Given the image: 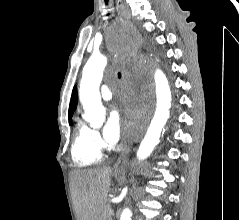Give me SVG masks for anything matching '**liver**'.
Wrapping results in <instances>:
<instances>
[{
    "label": "liver",
    "instance_id": "obj_1",
    "mask_svg": "<svg viewBox=\"0 0 239 220\" xmlns=\"http://www.w3.org/2000/svg\"><path fill=\"white\" fill-rule=\"evenodd\" d=\"M110 167L74 170L70 173L77 220H102L110 189Z\"/></svg>",
    "mask_w": 239,
    "mask_h": 220
}]
</instances>
